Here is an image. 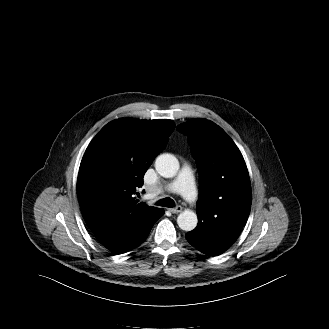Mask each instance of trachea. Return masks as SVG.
<instances>
[{"mask_svg":"<svg viewBox=\"0 0 329 329\" xmlns=\"http://www.w3.org/2000/svg\"><path fill=\"white\" fill-rule=\"evenodd\" d=\"M156 205L173 208V207H175V202L173 201V199L166 197V198L160 199L158 202H156Z\"/></svg>","mask_w":329,"mask_h":329,"instance_id":"3493384b","label":"trachea"}]
</instances>
